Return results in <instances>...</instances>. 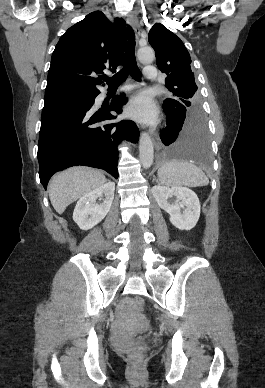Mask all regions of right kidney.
Here are the masks:
<instances>
[{
  "label": "right kidney",
  "instance_id": "obj_1",
  "mask_svg": "<svg viewBox=\"0 0 265 388\" xmlns=\"http://www.w3.org/2000/svg\"><path fill=\"white\" fill-rule=\"evenodd\" d=\"M114 190V182H107L80 198L73 212V220L80 230H91L104 220L113 204ZM98 198H104L103 204H97Z\"/></svg>",
  "mask_w": 265,
  "mask_h": 388
}]
</instances>
